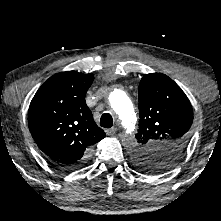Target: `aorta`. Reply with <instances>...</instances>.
<instances>
[{"label": "aorta", "instance_id": "aorta-1", "mask_svg": "<svg viewBox=\"0 0 221 221\" xmlns=\"http://www.w3.org/2000/svg\"><path fill=\"white\" fill-rule=\"evenodd\" d=\"M109 101L125 134L131 135L135 130L137 118L130 98L124 91L116 89L110 94Z\"/></svg>", "mask_w": 221, "mask_h": 221}]
</instances>
